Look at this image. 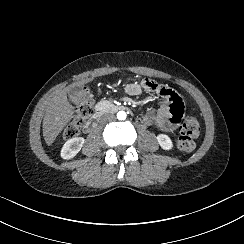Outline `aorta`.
I'll return each mask as SVG.
<instances>
[{
    "instance_id": "obj_1",
    "label": "aorta",
    "mask_w": 244,
    "mask_h": 244,
    "mask_svg": "<svg viewBox=\"0 0 244 244\" xmlns=\"http://www.w3.org/2000/svg\"><path fill=\"white\" fill-rule=\"evenodd\" d=\"M126 117H127V115H126V112H124V111H119V112L117 113V119H118V120H125Z\"/></svg>"
}]
</instances>
